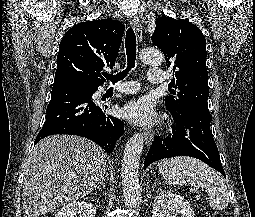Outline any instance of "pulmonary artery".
Listing matches in <instances>:
<instances>
[{
	"instance_id": "obj_1",
	"label": "pulmonary artery",
	"mask_w": 255,
	"mask_h": 217,
	"mask_svg": "<svg viewBox=\"0 0 255 217\" xmlns=\"http://www.w3.org/2000/svg\"><path fill=\"white\" fill-rule=\"evenodd\" d=\"M147 78L150 82L156 84H162L166 80L165 73L159 68H152L147 74ZM119 93H135L139 90V86L135 82H130L128 85L117 87L115 89Z\"/></svg>"
}]
</instances>
